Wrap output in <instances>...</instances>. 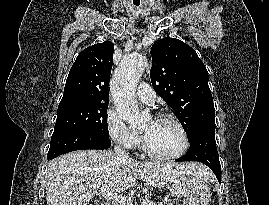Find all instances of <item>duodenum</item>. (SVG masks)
Instances as JSON below:
<instances>
[{
	"mask_svg": "<svg viewBox=\"0 0 269 205\" xmlns=\"http://www.w3.org/2000/svg\"><path fill=\"white\" fill-rule=\"evenodd\" d=\"M101 205H108L107 203L101 204Z\"/></svg>",
	"mask_w": 269,
	"mask_h": 205,
	"instance_id": "obj_1",
	"label": "duodenum"
}]
</instances>
